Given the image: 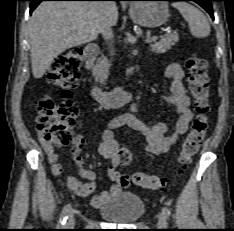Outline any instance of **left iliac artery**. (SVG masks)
<instances>
[{
  "label": "left iliac artery",
  "mask_w": 234,
  "mask_h": 231,
  "mask_svg": "<svg viewBox=\"0 0 234 231\" xmlns=\"http://www.w3.org/2000/svg\"><path fill=\"white\" fill-rule=\"evenodd\" d=\"M162 212L164 213V215L166 216V218L170 217V210L167 207H163L162 208Z\"/></svg>",
  "instance_id": "1"
}]
</instances>
